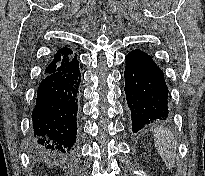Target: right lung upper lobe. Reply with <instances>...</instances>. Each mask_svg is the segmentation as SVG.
I'll return each instance as SVG.
<instances>
[{
    "mask_svg": "<svg viewBox=\"0 0 205 176\" xmlns=\"http://www.w3.org/2000/svg\"><path fill=\"white\" fill-rule=\"evenodd\" d=\"M73 51L68 47H62L54 54L51 61L48 63L44 70V74L51 70L66 64L73 57Z\"/></svg>",
    "mask_w": 205,
    "mask_h": 176,
    "instance_id": "right-lung-upper-lobe-1",
    "label": "right lung upper lobe"
}]
</instances>
